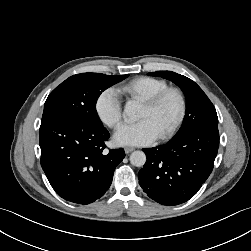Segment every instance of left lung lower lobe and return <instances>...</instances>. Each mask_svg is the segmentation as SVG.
Listing matches in <instances>:
<instances>
[{
  "instance_id": "1",
  "label": "left lung lower lobe",
  "mask_w": 251,
  "mask_h": 251,
  "mask_svg": "<svg viewBox=\"0 0 251 251\" xmlns=\"http://www.w3.org/2000/svg\"><path fill=\"white\" fill-rule=\"evenodd\" d=\"M218 129H196L165 145L143 149L147 156L139 184L156 202L173 206L192 198L212 172Z\"/></svg>"
}]
</instances>
